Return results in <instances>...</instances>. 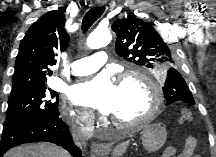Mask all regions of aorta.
I'll return each instance as SVG.
<instances>
[{
    "label": "aorta",
    "instance_id": "aorta-1",
    "mask_svg": "<svg viewBox=\"0 0 216 157\" xmlns=\"http://www.w3.org/2000/svg\"><path fill=\"white\" fill-rule=\"evenodd\" d=\"M111 41L108 29H96L87 38V46L91 49H99Z\"/></svg>",
    "mask_w": 216,
    "mask_h": 157
}]
</instances>
